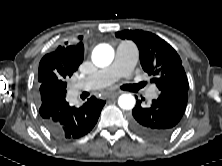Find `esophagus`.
<instances>
[{
  "label": "esophagus",
  "mask_w": 222,
  "mask_h": 166,
  "mask_svg": "<svg viewBox=\"0 0 222 166\" xmlns=\"http://www.w3.org/2000/svg\"><path fill=\"white\" fill-rule=\"evenodd\" d=\"M121 93H122L121 91L110 92L109 94H107V98L113 99V98L117 97Z\"/></svg>",
  "instance_id": "obj_1"
}]
</instances>
